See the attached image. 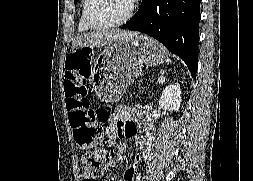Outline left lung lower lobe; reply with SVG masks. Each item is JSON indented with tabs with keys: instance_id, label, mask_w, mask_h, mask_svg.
<instances>
[{
	"instance_id": "left-lung-lower-lobe-1",
	"label": "left lung lower lobe",
	"mask_w": 253,
	"mask_h": 181,
	"mask_svg": "<svg viewBox=\"0 0 253 181\" xmlns=\"http://www.w3.org/2000/svg\"><path fill=\"white\" fill-rule=\"evenodd\" d=\"M200 0H143L123 29L139 31L160 41L197 72Z\"/></svg>"
}]
</instances>
